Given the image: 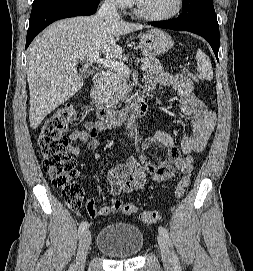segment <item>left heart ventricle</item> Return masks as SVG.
Masks as SVG:
<instances>
[{
  "label": "left heart ventricle",
  "mask_w": 253,
  "mask_h": 271,
  "mask_svg": "<svg viewBox=\"0 0 253 271\" xmlns=\"http://www.w3.org/2000/svg\"><path fill=\"white\" fill-rule=\"evenodd\" d=\"M177 0H140L145 12L152 15H165L176 7Z\"/></svg>",
  "instance_id": "left-heart-ventricle-1"
}]
</instances>
